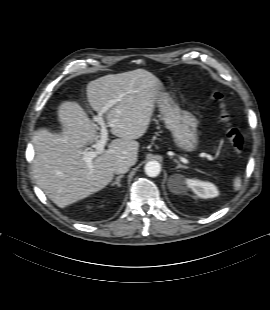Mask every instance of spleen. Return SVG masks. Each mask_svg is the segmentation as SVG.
<instances>
[{"instance_id": "1", "label": "spleen", "mask_w": 270, "mask_h": 310, "mask_svg": "<svg viewBox=\"0 0 270 310\" xmlns=\"http://www.w3.org/2000/svg\"><path fill=\"white\" fill-rule=\"evenodd\" d=\"M233 186L235 190H238L241 186V180L240 177H235L234 182H233Z\"/></svg>"}]
</instances>
